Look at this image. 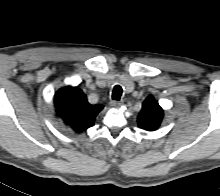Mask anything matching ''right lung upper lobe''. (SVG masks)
Instances as JSON below:
<instances>
[{
	"instance_id": "1",
	"label": "right lung upper lobe",
	"mask_w": 220,
	"mask_h": 196,
	"mask_svg": "<svg viewBox=\"0 0 220 196\" xmlns=\"http://www.w3.org/2000/svg\"><path fill=\"white\" fill-rule=\"evenodd\" d=\"M54 105L57 114L77 133L92 127L96 115L103 109L101 104H89L83 91L71 86L56 92Z\"/></svg>"
}]
</instances>
